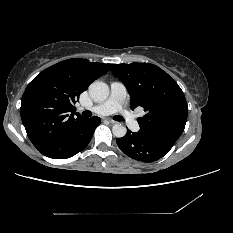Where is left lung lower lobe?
Returning <instances> with one entry per match:
<instances>
[{"label":"left lung lower lobe","mask_w":233,"mask_h":233,"mask_svg":"<svg viewBox=\"0 0 233 233\" xmlns=\"http://www.w3.org/2000/svg\"><path fill=\"white\" fill-rule=\"evenodd\" d=\"M118 147L129 157L142 161L153 162L165 156L173 144L156 141L139 133L127 130L122 138L116 139Z\"/></svg>","instance_id":"0a47b994"}]
</instances>
